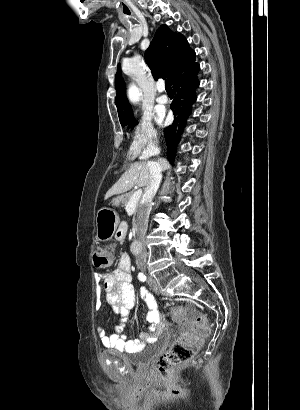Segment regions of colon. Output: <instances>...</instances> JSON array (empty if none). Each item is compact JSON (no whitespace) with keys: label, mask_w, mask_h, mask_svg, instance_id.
Instances as JSON below:
<instances>
[{"label":"colon","mask_w":300,"mask_h":410,"mask_svg":"<svg viewBox=\"0 0 300 410\" xmlns=\"http://www.w3.org/2000/svg\"><path fill=\"white\" fill-rule=\"evenodd\" d=\"M93 263L97 269L109 268L113 263L112 250L106 248L94 253ZM172 313L175 323L183 325L185 330L182 336L156 359V372L163 378L169 377L174 370L189 363L210 333L206 318L191 304L175 306Z\"/></svg>","instance_id":"5ec220e1"}]
</instances>
